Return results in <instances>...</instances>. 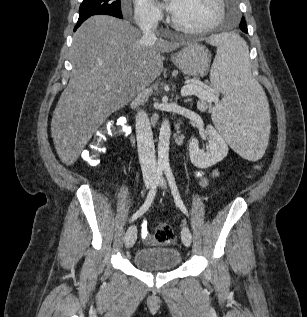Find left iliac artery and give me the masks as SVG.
Returning <instances> with one entry per match:
<instances>
[{
    "instance_id": "obj_1",
    "label": "left iliac artery",
    "mask_w": 307,
    "mask_h": 317,
    "mask_svg": "<svg viewBox=\"0 0 307 317\" xmlns=\"http://www.w3.org/2000/svg\"><path fill=\"white\" fill-rule=\"evenodd\" d=\"M164 173L166 175V178L168 180V183L170 185V188L172 190V194L175 200L176 205L181 209V211L188 216V211L187 208L185 207L181 197L180 193L178 191V187L172 172V169L170 168L169 165L164 166Z\"/></svg>"
}]
</instances>
